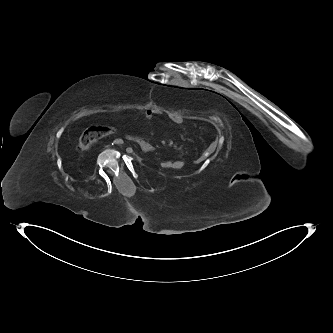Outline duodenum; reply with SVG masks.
<instances>
[{
    "label": "duodenum",
    "instance_id": "duodenum-1",
    "mask_svg": "<svg viewBox=\"0 0 333 333\" xmlns=\"http://www.w3.org/2000/svg\"><path fill=\"white\" fill-rule=\"evenodd\" d=\"M130 140L135 143L143 152H152L155 150V147L142 139L131 137Z\"/></svg>",
    "mask_w": 333,
    "mask_h": 333
}]
</instances>
